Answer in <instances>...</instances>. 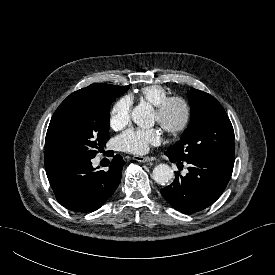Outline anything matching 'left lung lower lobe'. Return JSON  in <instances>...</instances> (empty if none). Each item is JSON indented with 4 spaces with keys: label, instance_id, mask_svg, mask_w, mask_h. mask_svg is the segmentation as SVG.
Here are the masks:
<instances>
[{
    "label": "left lung lower lobe",
    "instance_id": "1",
    "mask_svg": "<svg viewBox=\"0 0 275 275\" xmlns=\"http://www.w3.org/2000/svg\"><path fill=\"white\" fill-rule=\"evenodd\" d=\"M171 162L189 164V172L181 176L175 172L172 184L161 189L166 201L182 213H194L211 206L225 190L233 171L234 161L197 156L179 161L165 152Z\"/></svg>",
    "mask_w": 275,
    "mask_h": 275
}]
</instances>
